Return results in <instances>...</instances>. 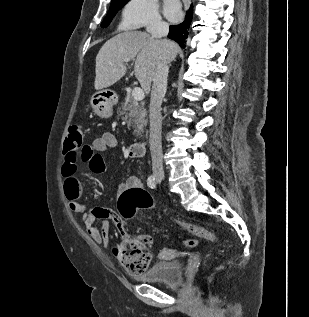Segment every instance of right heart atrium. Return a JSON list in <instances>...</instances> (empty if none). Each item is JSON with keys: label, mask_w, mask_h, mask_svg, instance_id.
<instances>
[{"label": "right heart atrium", "mask_w": 309, "mask_h": 317, "mask_svg": "<svg viewBox=\"0 0 309 317\" xmlns=\"http://www.w3.org/2000/svg\"><path fill=\"white\" fill-rule=\"evenodd\" d=\"M162 24L157 0H128L123 7L121 25L124 28H154Z\"/></svg>", "instance_id": "right-heart-atrium-1"}]
</instances>
